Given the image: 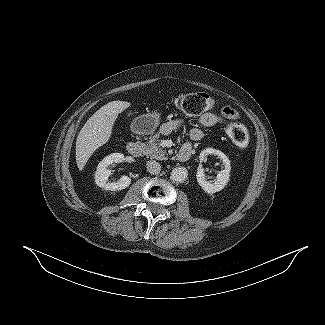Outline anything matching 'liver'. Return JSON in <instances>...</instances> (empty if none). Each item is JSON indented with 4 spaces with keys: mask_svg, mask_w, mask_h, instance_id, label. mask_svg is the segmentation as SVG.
I'll use <instances>...</instances> for the list:
<instances>
[{
    "mask_svg": "<svg viewBox=\"0 0 325 325\" xmlns=\"http://www.w3.org/2000/svg\"><path fill=\"white\" fill-rule=\"evenodd\" d=\"M130 105L126 101L109 102L87 120L76 141V163L80 171L92 154L109 141L118 115Z\"/></svg>",
    "mask_w": 325,
    "mask_h": 325,
    "instance_id": "6515ba94",
    "label": "liver"
}]
</instances>
